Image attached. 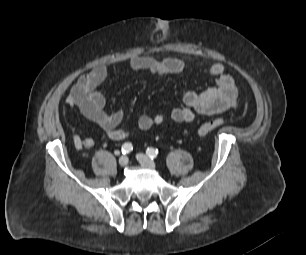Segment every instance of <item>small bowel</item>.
<instances>
[{
  "label": "small bowel",
  "mask_w": 306,
  "mask_h": 255,
  "mask_svg": "<svg viewBox=\"0 0 306 255\" xmlns=\"http://www.w3.org/2000/svg\"><path fill=\"white\" fill-rule=\"evenodd\" d=\"M128 63L132 70L147 71L157 81L168 75L182 73L186 68L184 60L177 57L157 59L153 56H138L129 59ZM208 73L215 78L216 85L201 93L193 90L185 91L184 105L171 112V118L175 122H192L198 114H218L237 105L238 88L234 78L225 72L224 65L213 63L208 68ZM106 77L107 68L104 65H98L82 74L71 88L66 104L69 108H78L85 118L97 125L110 139L124 140L131 133L130 129L119 127L125 118V110L108 111L105 97L98 90ZM164 121L163 113L154 115L143 113L138 116L136 126L140 130L147 131L161 125ZM94 143L91 137L83 141L86 148H91Z\"/></svg>",
  "instance_id": "obj_1"
}]
</instances>
